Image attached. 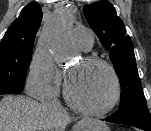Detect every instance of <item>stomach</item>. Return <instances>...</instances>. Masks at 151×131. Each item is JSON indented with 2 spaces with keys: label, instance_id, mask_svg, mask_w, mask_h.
Wrapping results in <instances>:
<instances>
[{
  "label": "stomach",
  "instance_id": "obj_1",
  "mask_svg": "<svg viewBox=\"0 0 151 131\" xmlns=\"http://www.w3.org/2000/svg\"><path fill=\"white\" fill-rule=\"evenodd\" d=\"M74 131H110L109 127L100 120L84 119L74 126Z\"/></svg>",
  "mask_w": 151,
  "mask_h": 131
}]
</instances>
